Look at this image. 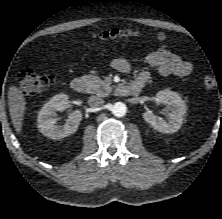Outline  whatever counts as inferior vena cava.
Segmentation results:
<instances>
[{"label":"inferior vena cava","mask_w":222,"mask_h":219,"mask_svg":"<svg viewBox=\"0 0 222 219\" xmlns=\"http://www.w3.org/2000/svg\"><path fill=\"white\" fill-rule=\"evenodd\" d=\"M88 104L91 107H100L104 104V100L101 97H98V96H91L88 99Z\"/></svg>","instance_id":"1"}]
</instances>
